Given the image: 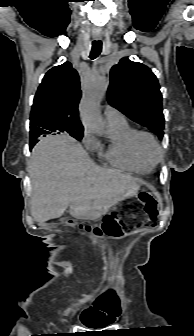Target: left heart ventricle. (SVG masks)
<instances>
[{
	"instance_id": "1",
	"label": "left heart ventricle",
	"mask_w": 194,
	"mask_h": 336,
	"mask_svg": "<svg viewBox=\"0 0 194 336\" xmlns=\"http://www.w3.org/2000/svg\"><path fill=\"white\" fill-rule=\"evenodd\" d=\"M140 149L143 154V156L147 160H154L156 158V151L153 143L147 139V138H142L140 141Z\"/></svg>"
}]
</instances>
